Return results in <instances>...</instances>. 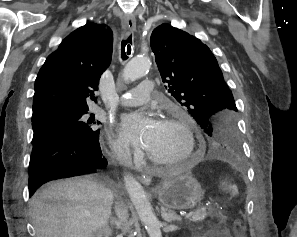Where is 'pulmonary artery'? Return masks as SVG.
<instances>
[{
  "instance_id": "e3ab8cb5",
  "label": "pulmonary artery",
  "mask_w": 297,
  "mask_h": 237,
  "mask_svg": "<svg viewBox=\"0 0 297 237\" xmlns=\"http://www.w3.org/2000/svg\"><path fill=\"white\" fill-rule=\"evenodd\" d=\"M154 91L151 79H144L137 88L128 91L118 100L121 106H137L146 103Z\"/></svg>"
}]
</instances>
